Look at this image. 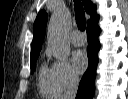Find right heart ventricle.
Masks as SVG:
<instances>
[{"mask_svg": "<svg viewBox=\"0 0 128 99\" xmlns=\"http://www.w3.org/2000/svg\"><path fill=\"white\" fill-rule=\"evenodd\" d=\"M38 88L39 92L43 97L53 98L60 94L51 69L46 66H42L38 75Z\"/></svg>", "mask_w": 128, "mask_h": 99, "instance_id": "obj_1", "label": "right heart ventricle"}]
</instances>
